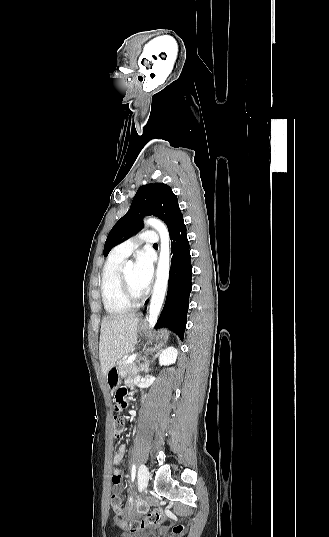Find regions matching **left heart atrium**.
<instances>
[{"mask_svg":"<svg viewBox=\"0 0 329 537\" xmlns=\"http://www.w3.org/2000/svg\"><path fill=\"white\" fill-rule=\"evenodd\" d=\"M134 267L136 282L142 291H146L153 276V264L150 254L146 251L138 252Z\"/></svg>","mask_w":329,"mask_h":537,"instance_id":"39dd6f15","label":"left heart atrium"}]
</instances>
